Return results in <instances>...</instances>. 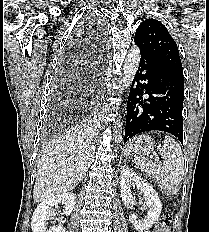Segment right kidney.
I'll use <instances>...</instances> for the list:
<instances>
[{"label":"right kidney","instance_id":"ca27d5eb","mask_svg":"<svg viewBox=\"0 0 209 232\" xmlns=\"http://www.w3.org/2000/svg\"><path fill=\"white\" fill-rule=\"evenodd\" d=\"M63 204L62 215H69L76 204V195L73 192H64L43 200L36 208L32 216V232H65L60 222L57 226L47 228V221L55 214L53 207ZM64 217H61V221Z\"/></svg>","mask_w":209,"mask_h":232}]
</instances>
